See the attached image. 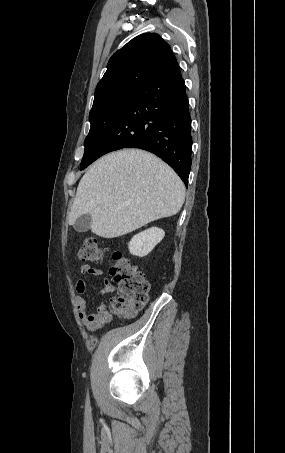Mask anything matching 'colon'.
Returning <instances> with one entry per match:
<instances>
[{
  "instance_id": "obj_1",
  "label": "colon",
  "mask_w": 285,
  "mask_h": 453,
  "mask_svg": "<svg viewBox=\"0 0 285 453\" xmlns=\"http://www.w3.org/2000/svg\"><path fill=\"white\" fill-rule=\"evenodd\" d=\"M79 257L82 261L100 262L103 257L100 240L95 236L87 237ZM110 273L117 283L115 301L119 309L128 316L136 314L149 299L150 283L145 274L120 252L113 254Z\"/></svg>"
}]
</instances>
